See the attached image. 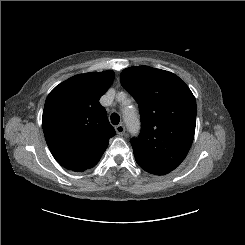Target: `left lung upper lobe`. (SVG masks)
<instances>
[{"label":"left lung upper lobe","instance_id":"1","mask_svg":"<svg viewBox=\"0 0 245 245\" xmlns=\"http://www.w3.org/2000/svg\"><path fill=\"white\" fill-rule=\"evenodd\" d=\"M120 82L139 104L141 133L131 140L136 162L145 171L174 170L193 142L194 95L175 74L148 66L124 69Z\"/></svg>","mask_w":245,"mask_h":245}]
</instances>
